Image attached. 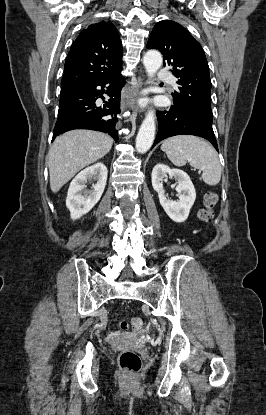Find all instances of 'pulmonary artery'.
Listing matches in <instances>:
<instances>
[{
    "instance_id": "pulmonary-artery-1",
    "label": "pulmonary artery",
    "mask_w": 266,
    "mask_h": 415,
    "mask_svg": "<svg viewBox=\"0 0 266 415\" xmlns=\"http://www.w3.org/2000/svg\"><path fill=\"white\" fill-rule=\"evenodd\" d=\"M157 76H158V79L161 80V81H164V82H167V83H170V84L175 83V78L172 76V74L169 73L168 71L164 70V69H161L158 72Z\"/></svg>"
}]
</instances>
